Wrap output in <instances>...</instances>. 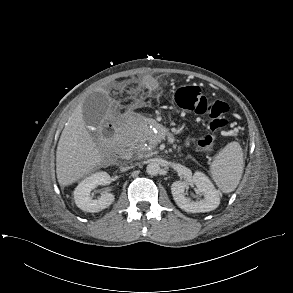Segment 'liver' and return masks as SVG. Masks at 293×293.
<instances>
[{
    "instance_id": "obj_1",
    "label": "liver",
    "mask_w": 293,
    "mask_h": 293,
    "mask_svg": "<svg viewBox=\"0 0 293 293\" xmlns=\"http://www.w3.org/2000/svg\"><path fill=\"white\" fill-rule=\"evenodd\" d=\"M102 156L87 131L79 105L69 118L58 142L56 174L60 186H68L91 172Z\"/></svg>"
}]
</instances>
